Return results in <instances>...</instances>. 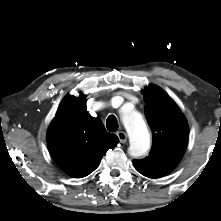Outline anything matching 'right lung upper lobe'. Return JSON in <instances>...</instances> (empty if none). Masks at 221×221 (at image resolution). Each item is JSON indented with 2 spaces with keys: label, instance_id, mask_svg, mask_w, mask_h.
I'll return each mask as SVG.
<instances>
[{
  "label": "right lung upper lobe",
  "instance_id": "right-lung-upper-lobe-1",
  "mask_svg": "<svg viewBox=\"0 0 221 221\" xmlns=\"http://www.w3.org/2000/svg\"><path fill=\"white\" fill-rule=\"evenodd\" d=\"M119 142L99 118L92 117L83 95H67L47 132L49 151L68 175L82 178L93 172L101 158Z\"/></svg>",
  "mask_w": 221,
  "mask_h": 221
}]
</instances>
